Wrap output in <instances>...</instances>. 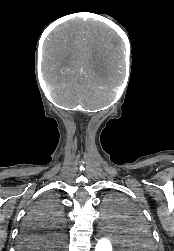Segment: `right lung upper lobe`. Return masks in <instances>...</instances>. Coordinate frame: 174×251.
Listing matches in <instances>:
<instances>
[{
  "mask_svg": "<svg viewBox=\"0 0 174 251\" xmlns=\"http://www.w3.org/2000/svg\"><path fill=\"white\" fill-rule=\"evenodd\" d=\"M48 246V242L46 240H41L39 235L35 237V241L29 244H21V249H40L45 250Z\"/></svg>",
  "mask_w": 174,
  "mask_h": 251,
  "instance_id": "obj_1",
  "label": "right lung upper lobe"
}]
</instances>
